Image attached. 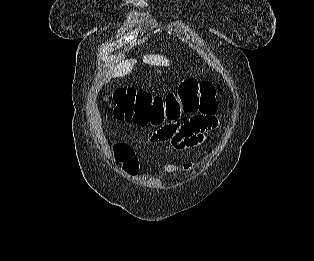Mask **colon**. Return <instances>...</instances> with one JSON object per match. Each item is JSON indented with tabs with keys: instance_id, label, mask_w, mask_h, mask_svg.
Returning a JSON list of instances; mask_svg holds the SVG:
<instances>
[{
	"instance_id": "5ec220e1",
	"label": "colon",
	"mask_w": 314,
	"mask_h": 261,
	"mask_svg": "<svg viewBox=\"0 0 314 261\" xmlns=\"http://www.w3.org/2000/svg\"><path fill=\"white\" fill-rule=\"evenodd\" d=\"M215 95L216 88L213 84L195 79L181 82L175 92L165 96L134 88H119L112 95L115 103L114 116L120 121L159 129L165 120H178L186 114H195L196 109H203L204 112L215 110ZM115 152L126 173L134 174L137 162L132 149L119 144L115 147Z\"/></svg>"
}]
</instances>
